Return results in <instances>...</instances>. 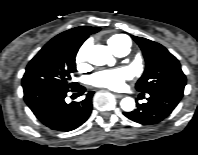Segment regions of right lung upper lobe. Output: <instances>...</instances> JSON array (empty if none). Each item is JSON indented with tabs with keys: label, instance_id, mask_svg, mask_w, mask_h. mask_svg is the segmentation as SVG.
Masks as SVG:
<instances>
[{
	"label": "right lung upper lobe",
	"instance_id": "1",
	"mask_svg": "<svg viewBox=\"0 0 198 155\" xmlns=\"http://www.w3.org/2000/svg\"><path fill=\"white\" fill-rule=\"evenodd\" d=\"M100 30L99 27L80 26L70 30H67L56 37H54L51 43L63 42V41H81L84 42L88 36L92 33H96Z\"/></svg>",
	"mask_w": 198,
	"mask_h": 155
}]
</instances>
